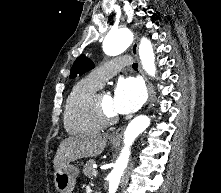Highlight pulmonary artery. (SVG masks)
<instances>
[{
    "label": "pulmonary artery",
    "instance_id": "e3ab8cb5",
    "mask_svg": "<svg viewBox=\"0 0 221 193\" xmlns=\"http://www.w3.org/2000/svg\"><path fill=\"white\" fill-rule=\"evenodd\" d=\"M132 60L128 56L116 58L106 65L94 69L90 77L97 82L99 85H102L106 80L114 76L120 69L125 66H129Z\"/></svg>",
    "mask_w": 221,
    "mask_h": 193
}]
</instances>
